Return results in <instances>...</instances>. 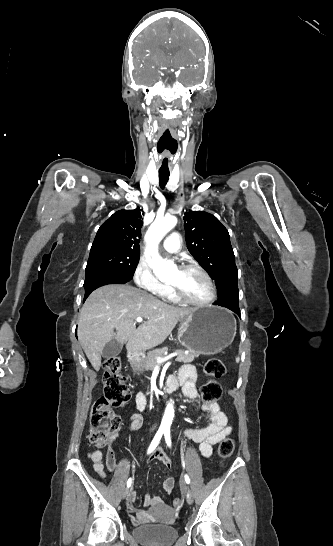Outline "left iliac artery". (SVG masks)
Here are the masks:
<instances>
[{
  "label": "left iliac artery",
  "mask_w": 333,
  "mask_h": 546,
  "mask_svg": "<svg viewBox=\"0 0 333 546\" xmlns=\"http://www.w3.org/2000/svg\"><path fill=\"white\" fill-rule=\"evenodd\" d=\"M164 435H165V441H166L168 447L171 448L170 430L166 429V430L164 431ZM185 481H186L187 484L190 483V478H189V476H188L187 474L185 475Z\"/></svg>",
  "instance_id": "obj_1"
}]
</instances>
